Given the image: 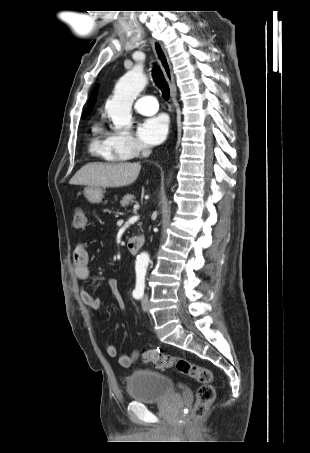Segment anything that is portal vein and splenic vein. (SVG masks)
Here are the masks:
<instances>
[{"label":"portal vein and splenic vein","instance_id":"portal-vein-and-splenic-vein-1","mask_svg":"<svg viewBox=\"0 0 310 453\" xmlns=\"http://www.w3.org/2000/svg\"><path fill=\"white\" fill-rule=\"evenodd\" d=\"M133 208H134V210L136 211L137 209H139V205H138V204H136V205H134V207H133Z\"/></svg>","mask_w":310,"mask_h":453}]
</instances>
